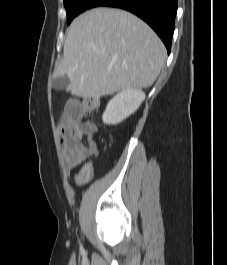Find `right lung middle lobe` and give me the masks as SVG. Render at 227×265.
<instances>
[{
    "label": "right lung middle lobe",
    "instance_id": "1",
    "mask_svg": "<svg viewBox=\"0 0 227 265\" xmlns=\"http://www.w3.org/2000/svg\"><path fill=\"white\" fill-rule=\"evenodd\" d=\"M94 0H64L67 11V23L69 24L74 17L90 8Z\"/></svg>",
    "mask_w": 227,
    "mask_h": 265
}]
</instances>
